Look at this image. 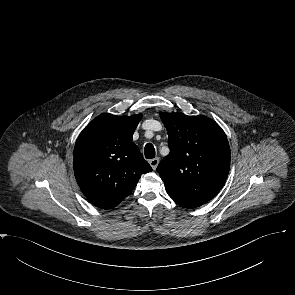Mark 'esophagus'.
I'll return each mask as SVG.
<instances>
[{"mask_svg":"<svg viewBox=\"0 0 295 295\" xmlns=\"http://www.w3.org/2000/svg\"><path fill=\"white\" fill-rule=\"evenodd\" d=\"M149 164L152 167V169L155 170L159 164V158L155 157V158L149 160Z\"/></svg>","mask_w":295,"mask_h":295,"instance_id":"esophagus-1","label":"esophagus"}]
</instances>
